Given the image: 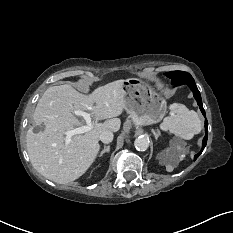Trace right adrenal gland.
<instances>
[{"mask_svg": "<svg viewBox=\"0 0 233 233\" xmlns=\"http://www.w3.org/2000/svg\"><path fill=\"white\" fill-rule=\"evenodd\" d=\"M110 151V146L107 145L104 147V149L101 151L99 157H101L104 153H108Z\"/></svg>", "mask_w": 233, "mask_h": 233, "instance_id": "obj_1", "label": "right adrenal gland"}]
</instances>
